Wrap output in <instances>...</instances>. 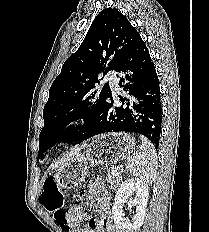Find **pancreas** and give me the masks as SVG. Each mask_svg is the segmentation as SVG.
Here are the masks:
<instances>
[{"label": "pancreas", "instance_id": "cf45deb5", "mask_svg": "<svg viewBox=\"0 0 209 232\" xmlns=\"http://www.w3.org/2000/svg\"><path fill=\"white\" fill-rule=\"evenodd\" d=\"M122 170L119 167L112 168L108 174V183L110 189L114 190L117 188L119 180L121 178Z\"/></svg>", "mask_w": 209, "mask_h": 232}]
</instances>
